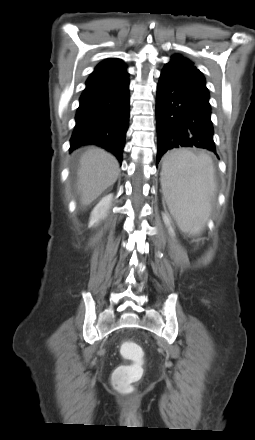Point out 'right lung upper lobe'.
<instances>
[{"label":"right lung upper lobe","mask_w":255,"mask_h":440,"mask_svg":"<svg viewBox=\"0 0 255 440\" xmlns=\"http://www.w3.org/2000/svg\"><path fill=\"white\" fill-rule=\"evenodd\" d=\"M122 66H124V63L119 59L108 58L96 66L95 70L89 76L88 80L106 75Z\"/></svg>","instance_id":"1"}]
</instances>
